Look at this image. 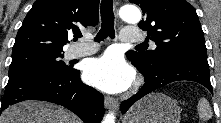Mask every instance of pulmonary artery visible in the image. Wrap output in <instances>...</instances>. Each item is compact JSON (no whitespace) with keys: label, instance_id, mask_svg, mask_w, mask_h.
I'll return each mask as SVG.
<instances>
[{"label":"pulmonary artery","instance_id":"pulmonary-artery-1","mask_svg":"<svg viewBox=\"0 0 221 123\" xmlns=\"http://www.w3.org/2000/svg\"><path fill=\"white\" fill-rule=\"evenodd\" d=\"M145 38L144 34L136 28H125L121 32V40L127 43H138L143 41ZM98 50L96 44L91 43H80L71 47L67 53L69 58H78L87 56L95 53Z\"/></svg>","mask_w":221,"mask_h":123}]
</instances>
